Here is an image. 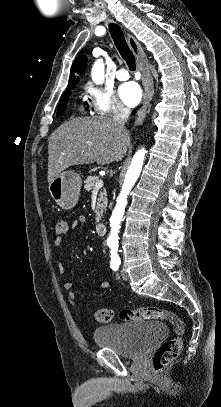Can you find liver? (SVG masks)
Returning a JSON list of instances; mask_svg holds the SVG:
<instances>
[{
    "label": "liver",
    "mask_w": 221,
    "mask_h": 407,
    "mask_svg": "<svg viewBox=\"0 0 221 407\" xmlns=\"http://www.w3.org/2000/svg\"><path fill=\"white\" fill-rule=\"evenodd\" d=\"M131 138L107 116L74 118L60 125L48 143V183L70 166L122 160Z\"/></svg>",
    "instance_id": "obj_1"
}]
</instances>
